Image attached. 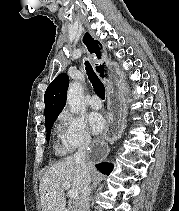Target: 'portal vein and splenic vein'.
Wrapping results in <instances>:
<instances>
[{"label":"portal vein and splenic vein","instance_id":"18ae733b","mask_svg":"<svg viewBox=\"0 0 179 211\" xmlns=\"http://www.w3.org/2000/svg\"><path fill=\"white\" fill-rule=\"evenodd\" d=\"M63 186L69 189L68 196L70 198H74V199L78 198L79 192L75 189H71V185L68 182H63Z\"/></svg>","mask_w":179,"mask_h":211}]
</instances>
